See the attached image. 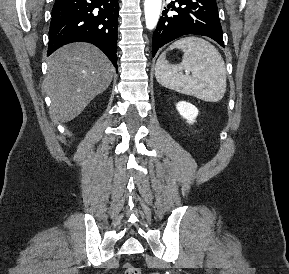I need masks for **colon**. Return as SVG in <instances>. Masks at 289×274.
Segmentation results:
<instances>
[{"label": "colon", "mask_w": 289, "mask_h": 274, "mask_svg": "<svg viewBox=\"0 0 289 274\" xmlns=\"http://www.w3.org/2000/svg\"><path fill=\"white\" fill-rule=\"evenodd\" d=\"M124 274H142V272L140 268L127 263L124 265Z\"/></svg>", "instance_id": "obj_1"}]
</instances>
